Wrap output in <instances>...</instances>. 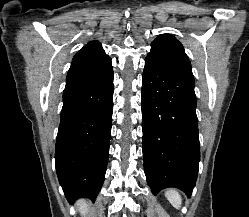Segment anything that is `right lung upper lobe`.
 <instances>
[{
  "label": "right lung upper lobe",
  "instance_id": "obj_1",
  "mask_svg": "<svg viewBox=\"0 0 249 217\" xmlns=\"http://www.w3.org/2000/svg\"><path fill=\"white\" fill-rule=\"evenodd\" d=\"M104 50L101 44L97 41H90L86 46H84L76 55L74 56L72 62L91 58L94 56H98L100 54H104Z\"/></svg>",
  "mask_w": 249,
  "mask_h": 217
}]
</instances>
